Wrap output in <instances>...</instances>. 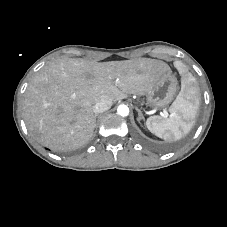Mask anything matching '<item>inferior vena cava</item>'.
I'll return each instance as SVG.
<instances>
[{
	"instance_id": "1",
	"label": "inferior vena cava",
	"mask_w": 227,
	"mask_h": 227,
	"mask_svg": "<svg viewBox=\"0 0 227 227\" xmlns=\"http://www.w3.org/2000/svg\"><path fill=\"white\" fill-rule=\"evenodd\" d=\"M113 100L108 96H101L95 103L93 112L95 114L107 111L111 108Z\"/></svg>"
}]
</instances>
